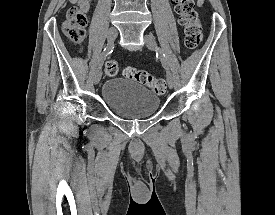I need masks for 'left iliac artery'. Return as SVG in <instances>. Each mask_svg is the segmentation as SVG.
Wrapping results in <instances>:
<instances>
[{"mask_svg":"<svg viewBox=\"0 0 275 215\" xmlns=\"http://www.w3.org/2000/svg\"><path fill=\"white\" fill-rule=\"evenodd\" d=\"M157 55L161 58V61H162V64H163L164 68L167 69V62H166L164 53L161 50L158 49Z\"/></svg>","mask_w":275,"mask_h":215,"instance_id":"obj_1","label":"left iliac artery"}]
</instances>
